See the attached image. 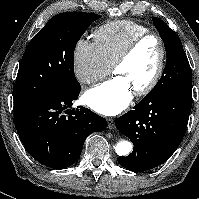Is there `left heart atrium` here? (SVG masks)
Listing matches in <instances>:
<instances>
[{
  "label": "left heart atrium",
  "mask_w": 199,
  "mask_h": 199,
  "mask_svg": "<svg viewBox=\"0 0 199 199\" xmlns=\"http://www.w3.org/2000/svg\"><path fill=\"white\" fill-rule=\"evenodd\" d=\"M84 99L95 112L113 116L122 112L129 105L132 99V90L122 77L114 76L87 90Z\"/></svg>",
  "instance_id": "39dd6f15"
}]
</instances>
